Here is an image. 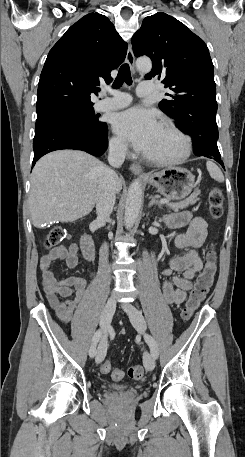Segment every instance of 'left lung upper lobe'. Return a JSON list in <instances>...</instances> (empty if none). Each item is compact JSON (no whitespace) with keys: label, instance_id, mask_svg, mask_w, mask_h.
I'll return each mask as SVG.
<instances>
[{"label":"left lung upper lobe","instance_id":"left-lung-upper-lobe-1","mask_svg":"<svg viewBox=\"0 0 245 457\" xmlns=\"http://www.w3.org/2000/svg\"><path fill=\"white\" fill-rule=\"evenodd\" d=\"M136 57L146 55L152 70L145 78L158 76L169 99L160 109L182 126L192 116L216 115V85L213 63L204 41L172 16L159 12L144 18L131 39Z\"/></svg>","mask_w":245,"mask_h":457}]
</instances>
